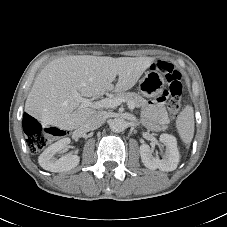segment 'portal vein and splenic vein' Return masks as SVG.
Here are the masks:
<instances>
[{"label": "portal vein and splenic vein", "mask_w": 227, "mask_h": 227, "mask_svg": "<svg viewBox=\"0 0 227 227\" xmlns=\"http://www.w3.org/2000/svg\"><path fill=\"white\" fill-rule=\"evenodd\" d=\"M73 97L78 102H80V107L81 108H85V107H91V108H95V109H99V108H114V107H117V106L121 105V103L124 102V100L119 98V97L104 98L102 100L93 102L90 99L81 97V95L77 91H73ZM128 108L131 111H133L134 108H135L134 103L133 102H129L128 103Z\"/></svg>", "instance_id": "portal-vein-and-splenic-vein-1"}]
</instances>
